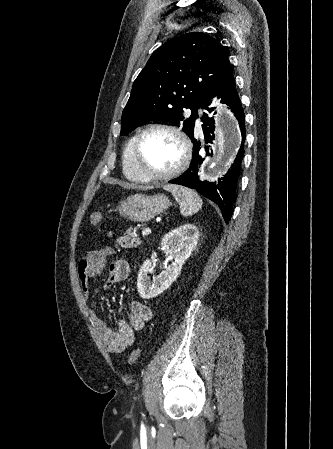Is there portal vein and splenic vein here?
Returning a JSON list of instances; mask_svg holds the SVG:
<instances>
[{"label":"portal vein and splenic vein","mask_w":333,"mask_h":449,"mask_svg":"<svg viewBox=\"0 0 333 449\" xmlns=\"http://www.w3.org/2000/svg\"><path fill=\"white\" fill-rule=\"evenodd\" d=\"M151 233V229L150 228H146V229H144L143 231H142V235L143 236H147V235H149Z\"/></svg>","instance_id":"18ae733b"}]
</instances>
